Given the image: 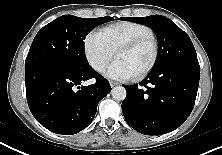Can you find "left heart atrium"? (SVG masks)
Wrapping results in <instances>:
<instances>
[{
    "instance_id": "1",
    "label": "left heart atrium",
    "mask_w": 222,
    "mask_h": 155,
    "mask_svg": "<svg viewBox=\"0 0 222 155\" xmlns=\"http://www.w3.org/2000/svg\"><path fill=\"white\" fill-rule=\"evenodd\" d=\"M106 75L115 80H128L134 76L130 68L120 59H116L109 65Z\"/></svg>"
}]
</instances>
